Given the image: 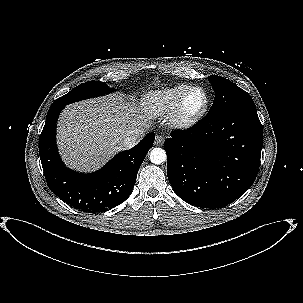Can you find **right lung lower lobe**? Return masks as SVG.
Returning <instances> with one entry per match:
<instances>
[{
	"mask_svg": "<svg viewBox=\"0 0 303 303\" xmlns=\"http://www.w3.org/2000/svg\"><path fill=\"white\" fill-rule=\"evenodd\" d=\"M65 105L52 104L39 137V154L48 187L70 206L90 213L113 208L127 199L149 149L154 133L135 147L122 151L95 173L74 172L65 167L56 146V123Z\"/></svg>",
	"mask_w": 303,
	"mask_h": 303,
	"instance_id": "right-lung-lower-lobe-1",
	"label": "right lung lower lobe"
}]
</instances>
